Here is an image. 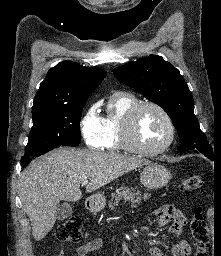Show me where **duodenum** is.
Segmentation results:
<instances>
[{"label":"duodenum","instance_id":"410a0bca","mask_svg":"<svg viewBox=\"0 0 221 256\" xmlns=\"http://www.w3.org/2000/svg\"><path fill=\"white\" fill-rule=\"evenodd\" d=\"M87 206H88L89 209L93 210L96 207V203H95L94 200H89L88 203H87Z\"/></svg>","mask_w":221,"mask_h":256}]
</instances>
